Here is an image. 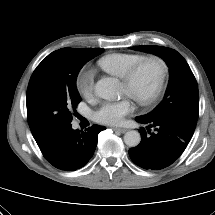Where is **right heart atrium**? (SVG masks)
I'll use <instances>...</instances> for the list:
<instances>
[{"label":"right heart atrium","mask_w":215,"mask_h":215,"mask_svg":"<svg viewBox=\"0 0 215 215\" xmlns=\"http://www.w3.org/2000/svg\"><path fill=\"white\" fill-rule=\"evenodd\" d=\"M76 87L81 96L90 98L94 89L93 73L90 70L82 71L76 79Z\"/></svg>","instance_id":"d8ad5b80"}]
</instances>
